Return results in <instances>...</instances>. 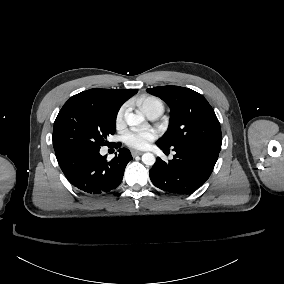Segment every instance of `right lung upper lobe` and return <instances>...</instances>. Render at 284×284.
Segmentation results:
<instances>
[{"instance_id":"obj_1","label":"right lung upper lobe","mask_w":284,"mask_h":284,"mask_svg":"<svg viewBox=\"0 0 284 284\" xmlns=\"http://www.w3.org/2000/svg\"><path fill=\"white\" fill-rule=\"evenodd\" d=\"M137 89H100L94 88L74 96L86 97L103 104L108 110L118 112L121 105L137 93Z\"/></svg>"}]
</instances>
